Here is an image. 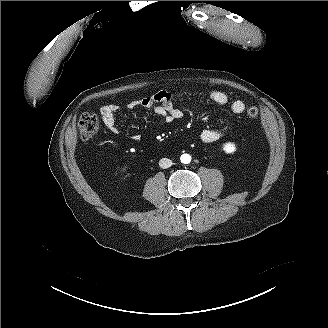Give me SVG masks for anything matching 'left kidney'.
Returning a JSON list of instances; mask_svg holds the SVG:
<instances>
[{
  "mask_svg": "<svg viewBox=\"0 0 328 328\" xmlns=\"http://www.w3.org/2000/svg\"><path fill=\"white\" fill-rule=\"evenodd\" d=\"M222 149L227 154H234L237 151V146L232 142H225L222 145Z\"/></svg>",
  "mask_w": 328,
  "mask_h": 328,
  "instance_id": "1",
  "label": "left kidney"
}]
</instances>
